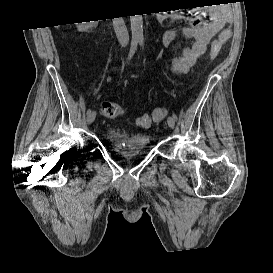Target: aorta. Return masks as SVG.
Here are the masks:
<instances>
[{"label": "aorta", "mask_w": 273, "mask_h": 273, "mask_svg": "<svg viewBox=\"0 0 273 273\" xmlns=\"http://www.w3.org/2000/svg\"><path fill=\"white\" fill-rule=\"evenodd\" d=\"M132 40L143 41V18L142 15L130 16Z\"/></svg>", "instance_id": "obj_1"}]
</instances>
